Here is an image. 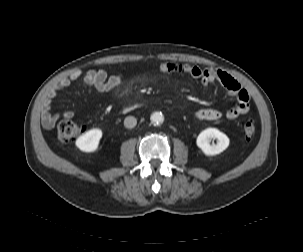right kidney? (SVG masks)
I'll use <instances>...</instances> for the list:
<instances>
[{
  "label": "right kidney",
  "mask_w": 303,
  "mask_h": 252,
  "mask_svg": "<svg viewBox=\"0 0 303 252\" xmlns=\"http://www.w3.org/2000/svg\"><path fill=\"white\" fill-rule=\"evenodd\" d=\"M102 135V130L91 129L78 137L76 146L83 152H94L98 149Z\"/></svg>",
  "instance_id": "1"
}]
</instances>
